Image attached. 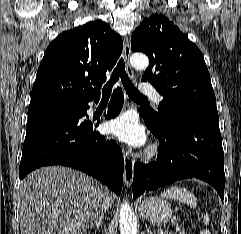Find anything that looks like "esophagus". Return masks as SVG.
<instances>
[{
    "mask_svg": "<svg viewBox=\"0 0 241 234\" xmlns=\"http://www.w3.org/2000/svg\"><path fill=\"white\" fill-rule=\"evenodd\" d=\"M123 53L125 60V67L127 74L131 79L134 78V73L132 67L129 63V58L131 54L130 42L128 37L123 39ZM134 177V161L130 158V155L127 151H124V182L127 187H130Z\"/></svg>",
    "mask_w": 241,
    "mask_h": 234,
    "instance_id": "34e87169",
    "label": "esophagus"
}]
</instances>
